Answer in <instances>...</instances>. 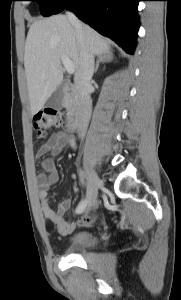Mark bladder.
Listing matches in <instances>:
<instances>
[{
	"label": "bladder",
	"instance_id": "obj_1",
	"mask_svg": "<svg viewBox=\"0 0 181 300\" xmlns=\"http://www.w3.org/2000/svg\"><path fill=\"white\" fill-rule=\"evenodd\" d=\"M97 237L90 231H78L69 241V247L73 252L92 248L97 244Z\"/></svg>",
	"mask_w": 181,
	"mask_h": 300
}]
</instances>
